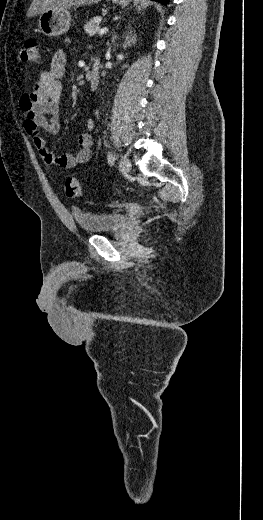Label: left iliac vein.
Here are the masks:
<instances>
[{
    "mask_svg": "<svg viewBox=\"0 0 263 520\" xmlns=\"http://www.w3.org/2000/svg\"><path fill=\"white\" fill-rule=\"evenodd\" d=\"M119 167L124 174H129L131 171V162L126 156H121L119 159Z\"/></svg>",
    "mask_w": 263,
    "mask_h": 520,
    "instance_id": "1",
    "label": "left iliac vein"
}]
</instances>
